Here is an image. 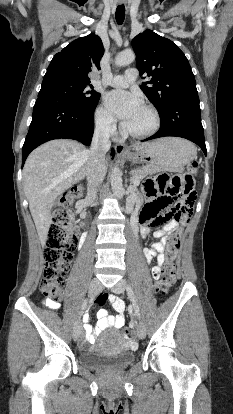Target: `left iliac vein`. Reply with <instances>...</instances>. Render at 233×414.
Listing matches in <instances>:
<instances>
[{
    "label": "left iliac vein",
    "instance_id": "4c4485c4",
    "mask_svg": "<svg viewBox=\"0 0 233 414\" xmlns=\"http://www.w3.org/2000/svg\"><path fill=\"white\" fill-rule=\"evenodd\" d=\"M126 282L124 280H120L111 290L114 293L120 294L123 293L125 290ZM146 335V329L144 324L140 321L137 326V336L139 339H144Z\"/></svg>",
    "mask_w": 233,
    "mask_h": 414
}]
</instances>
